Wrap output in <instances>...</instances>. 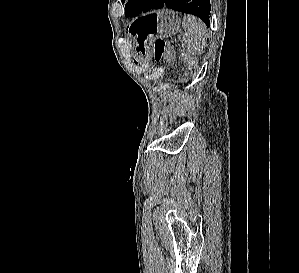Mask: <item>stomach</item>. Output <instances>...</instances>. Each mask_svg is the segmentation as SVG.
<instances>
[{"label":"stomach","mask_w":299,"mask_h":273,"mask_svg":"<svg viewBox=\"0 0 299 273\" xmlns=\"http://www.w3.org/2000/svg\"><path fill=\"white\" fill-rule=\"evenodd\" d=\"M180 27L178 17L170 11L152 12L134 21L129 29L135 36L136 53L149 54L156 37L174 35Z\"/></svg>","instance_id":"stomach-1"}]
</instances>
